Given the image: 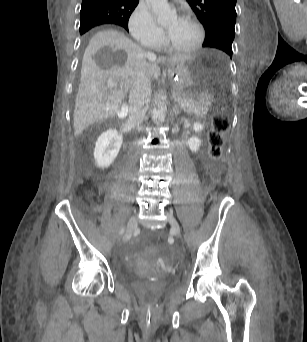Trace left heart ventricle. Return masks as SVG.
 <instances>
[{
    "instance_id": "obj_1",
    "label": "left heart ventricle",
    "mask_w": 307,
    "mask_h": 342,
    "mask_svg": "<svg viewBox=\"0 0 307 342\" xmlns=\"http://www.w3.org/2000/svg\"><path fill=\"white\" fill-rule=\"evenodd\" d=\"M176 22L170 23L166 27V33L172 28ZM197 39V32L195 28L187 22L181 21L173 34V36L167 37V44L169 48L173 50H182L190 47Z\"/></svg>"
}]
</instances>
